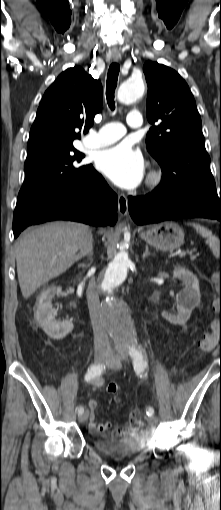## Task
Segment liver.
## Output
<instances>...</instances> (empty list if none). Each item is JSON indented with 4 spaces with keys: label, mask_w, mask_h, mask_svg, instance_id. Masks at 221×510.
<instances>
[{
    "label": "liver",
    "mask_w": 221,
    "mask_h": 510,
    "mask_svg": "<svg viewBox=\"0 0 221 510\" xmlns=\"http://www.w3.org/2000/svg\"><path fill=\"white\" fill-rule=\"evenodd\" d=\"M90 234L87 225L75 222H54L21 234L15 253L23 297L68 270Z\"/></svg>",
    "instance_id": "1"
}]
</instances>
